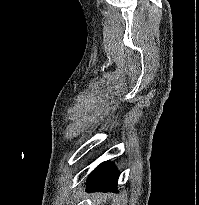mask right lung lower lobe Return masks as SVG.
<instances>
[{
	"mask_svg": "<svg viewBox=\"0 0 199 205\" xmlns=\"http://www.w3.org/2000/svg\"><path fill=\"white\" fill-rule=\"evenodd\" d=\"M119 172L116 166L107 161L100 164L88 177L87 191L108 192L117 190Z\"/></svg>",
	"mask_w": 199,
	"mask_h": 205,
	"instance_id": "1",
	"label": "right lung lower lobe"
}]
</instances>
